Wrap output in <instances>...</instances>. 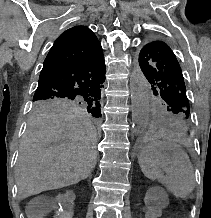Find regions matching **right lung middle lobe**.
<instances>
[{
    "instance_id": "obj_1",
    "label": "right lung middle lobe",
    "mask_w": 211,
    "mask_h": 218,
    "mask_svg": "<svg viewBox=\"0 0 211 218\" xmlns=\"http://www.w3.org/2000/svg\"><path fill=\"white\" fill-rule=\"evenodd\" d=\"M34 107L36 109H46L62 106H78L81 105L87 109L88 113H91L93 117L99 118L101 98H64V97H45V98H33Z\"/></svg>"
}]
</instances>
